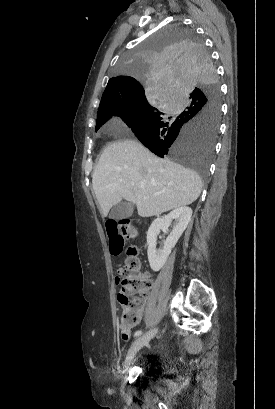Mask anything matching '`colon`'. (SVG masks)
<instances>
[{"mask_svg":"<svg viewBox=\"0 0 275 409\" xmlns=\"http://www.w3.org/2000/svg\"><path fill=\"white\" fill-rule=\"evenodd\" d=\"M109 249L113 254L124 250L129 239L136 237L133 224L130 221L111 220L106 225ZM129 258L115 271L121 275V291L118 300L122 308V316L118 325H124L130 330L137 325L143 306V291L150 290L153 282L149 276L142 272V263L138 253V246H129Z\"/></svg>","mask_w":275,"mask_h":409,"instance_id":"obj_1","label":"colon"}]
</instances>
